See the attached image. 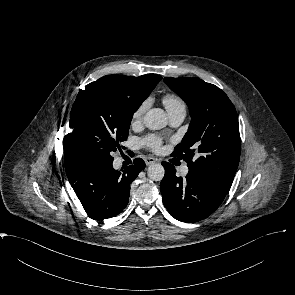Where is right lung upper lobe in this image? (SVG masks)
<instances>
[{"mask_svg": "<svg viewBox=\"0 0 295 295\" xmlns=\"http://www.w3.org/2000/svg\"><path fill=\"white\" fill-rule=\"evenodd\" d=\"M144 76L146 77L149 94H150V92L155 88L156 84L162 79V77L156 74H147ZM64 154H65V170H66L67 177H69L72 175V173H74V171L76 170L79 164L72 162L69 159L66 151H64Z\"/></svg>", "mask_w": 295, "mask_h": 295, "instance_id": "1", "label": "right lung upper lobe"}]
</instances>
